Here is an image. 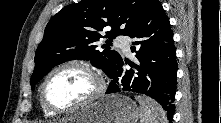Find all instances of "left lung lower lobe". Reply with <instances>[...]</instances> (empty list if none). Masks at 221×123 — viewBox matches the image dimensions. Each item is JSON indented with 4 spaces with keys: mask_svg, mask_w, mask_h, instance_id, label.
Segmentation results:
<instances>
[{
    "mask_svg": "<svg viewBox=\"0 0 221 123\" xmlns=\"http://www.w3.org/2000/svg\"><path fill=\"white\" fill-rule=\"evenodd\" d=\"M137 64L123 67L120 58L112 72L106 94L130 91L145 94L160 103L171 121L175 111L177 61L170 22L159 1H155L137 27L129 34ZM127 63V62H126Z\"/></svg>",
    "mask_w": 221,
    "mask_h": 123,
    "instance_id": "1",
    "label": "left lung lower lobe"
}]
</instances>
